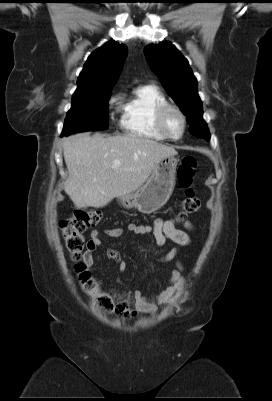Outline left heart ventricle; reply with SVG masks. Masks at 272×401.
<instances>
[{"label":"left heart ventricle","mask_w":272,"mask_h":401,"mask_svg":"<svg viewBox=\"0 0 272 401\" xmlns=\"http://www.w3.org/2000/svg\"><path fill=\"white\" fill-rule=\"evenodd\" d=\"M168 131L173 136H179L182 129V122L180 116L175 112H170L166 118Z\"/></svg>","instance_id":"left-heart-ventricle-1"}]
</instances>
